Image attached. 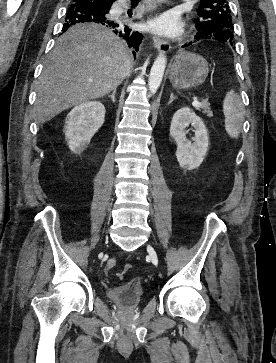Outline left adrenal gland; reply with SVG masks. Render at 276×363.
I'll list each match as a JSON object with an SVG mask.
<instances>
[{"label": "left adrenal gland", "instance_id": "a2214340", "mask_svg": "<svg viewBox=\"0 0 276 363\" xmlns=\"http://www.w3.org/2000/svg\"><path fill=\"white\" fill-rule=\"evenodd\" d=\"M174 99H176V97L174 96L173 93H171L170 94V100H169L168 104H171L174 101Z\"/></svg>", "mask_w": 276, "mask_h": 363}]
</instances>
